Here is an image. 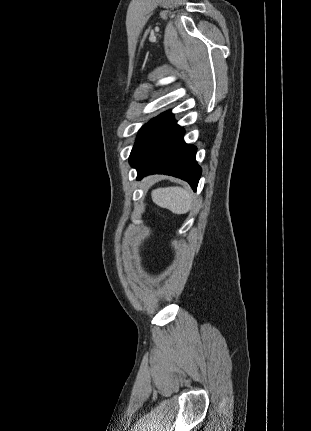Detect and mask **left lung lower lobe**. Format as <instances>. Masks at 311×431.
Returning a JSON list of instances; mask_svg holds the SVG:
<instances>
[{
  "instance_id": "1",
  "label": "left lung lower lobe",
  "mask_w": 311,
  "mask_h": 431,
  "mask_svg": "<svg viewBox=\"0 0 311 431\" xmlns=\"http://www.w3.org/2000/svg\"><path fill=\"white\" fill-rule=\"evenodd\" d=\"M184 130L170 111L150 120L141 129L129 157L138 177L167 174L187 181L196 191L201 168L195 160L196 147L184 142Z\"/></svg>"
}]
</instances>
